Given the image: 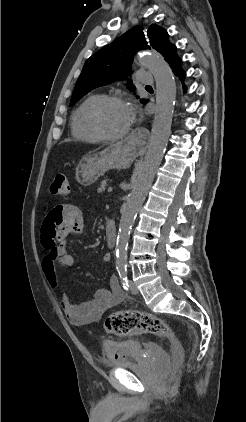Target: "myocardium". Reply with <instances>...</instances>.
<instances>
[{"mask_svg":"<svg viewBox=\"0 0 246 422\" xmlns=\"http://www.w3.org/2000/svg\"><path fill=\"white\" fill-rule=\"evenodd\" d=\"M109 104H124L126 105L125 101L115 95L109 96H102L98 100H96L92 106L89 108L87 113V121L92 129V131L103 141H117L126 137L129 132L131 131V126H129L126 130L121 133L111 134L107 132L100 122V112L101 110L109 105Z\"/></svg>","mask_w":246,"mask_h":422,"instance_id":"1","label":"myocardium"}]
</instances>
